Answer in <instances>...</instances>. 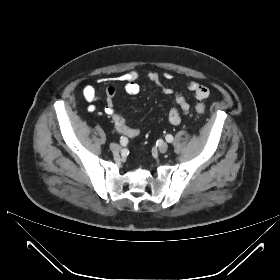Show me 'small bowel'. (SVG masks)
I'll return each instance as SVG.
<instances>
[{"label": "small bowel", "mask_w": 280, "mask_h": 280, "mask_svg": "<svg viewBox=\"0 0 280 280\" xmlns=\"http://www.w3.org/2000/svg\"><path fill=\"white\" fill-rule=\"evenodd\" d=\"M147 78L150 82L159 87L164 95L171 96L173 95L175 98L176 106L172 107L169 111V121L170 123L177 125L182 120V115H189L191 112V105L185 99V97L180 94L174 92V90L170 87H167L163 84V81H168L172 79V75L170 73L159 74L157 72H150L147 75ZM119 82L124 84L125 92L130 95H135L139 92L140 86L138 83L139 73L137 71H129L123 74H120L116 77ZM186 87L189 91H191L194 97L197 100H204L209 96L208 88L199 83L197 81H188L186 82ZM83 97L89 103H95L99 101L102 97L97 93L96 89L92 85H85L82 89ZM116 90L114 87L109 86L105 89L103 97L106 100V106L104 108V112L112 119L114 127L116 131L128 138H134L139 134V130L129 126L123 116L117 112H115L113 107V99L115 97ZM90 110H95L94 106H90Z\"/></svg>", "instance_id": "c3829d8e"}]
</instances>
